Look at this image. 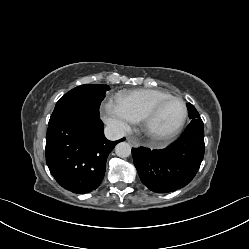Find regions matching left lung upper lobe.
Wrapping results in <instances>:
<instances>
[{
  "label": "left lung upper lobe",
  "instance_id": "left-lung-upper-lobe-1",
  "mask_svg": "<svg viewBox=\"0 0 249 249\" xmlns=\"http://www.w3.org/2000/svg\"><path fill=\"white\" fill-rule=\"evenodd\" d=\"M187 108H188V115H189V118L191 119V122H197V123H202V120L199 116V113L197 112V110L195 109V107L190 104V103H187Z\"/></svg>",
  "mask_w": 249,
  "mask_h": 249
}]
</instances>
